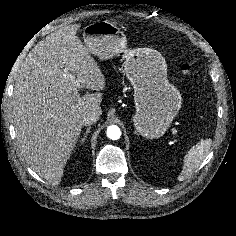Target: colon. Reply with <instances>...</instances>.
Returning a JSON list of instances; mask_svg holds the SVG:
<instances>
[{
	"label": "colon",
	"mask_w": 236,
	"mask_h": 236,
	"mask_svg": "<svg viewBox=\"0 0 236 236\" xmlns=\"http://www.w3.org/2000/svg\"><path fill=\"white\" fill-rule=\"evenodd\" d=\"M181 72L183 75L189 77L192 74V67L191 64L185 61L181 66Z\"/></svg>",
	"instance_id": "obj_1"
}]
</instances>
